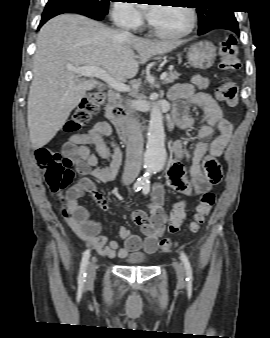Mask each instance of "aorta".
Instances as JSON below:
<instances>
[{
	"mask_svg": "<svg viewBox=\"0 0 270 338\" xmlns=\"http://www.w3.org/2000/svg\"><path fill=\"white\" fill-rule=\"evenodd\" d=\"M166 162L165 133L163 114L159 107L154 106L150 113L144 164L148 174L161 171Z\"/></svg>",
	"mask_w": 270,
	"mask_h": 338,
	"instance_id": "762f6f07",
	"label": "aorta"
}]
</instances>
